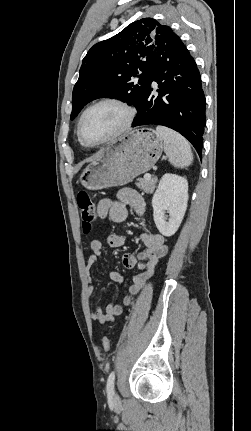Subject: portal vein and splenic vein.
<instances>
[{
	"mask_svg": "<svg viewBox=\"0 0 251 431\" xmlns=\"http://www.w3.org/2000/svg\"><path fill=\"white\" fill-rule=\"evenodd\" d=\"M144 178H145L146 180H150V179H151V175H150V174H145V175H144Z\"/></svg>",
	"mask_w": 251,
	"mask_h": 431,
	"instance_id": "portal-vein-and-splenic-vein-1",
	"label": "portal vein and splenic vein"
}]
</instances>
